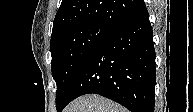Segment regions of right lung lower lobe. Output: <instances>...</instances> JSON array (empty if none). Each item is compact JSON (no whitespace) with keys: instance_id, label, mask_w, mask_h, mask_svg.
I'll use <instances>...</instances> for the list:
<instances>
[{"instance_id":"1","label":"right lung lower lobe","mask_w":193,"mask_h":112,"mask_svg":"<svg viewBox=\"0 0 193 112\" xmlns=\"http://www.w3.org/2000/svg\"><path fill=\"white\" fill-rule=\"evenodd\" d=\"M155 49L147 8L115 27L86 58L61 112L75 98L95 93L132 112H153Z\"/></svg>"}]
</instances>
